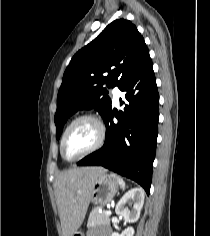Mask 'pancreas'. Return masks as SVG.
<instances>
[{"instance_id":"obj_1","label":"pancreas","mask_w":210,"mask_h":236,"mask_svg":"<svg viewBox=\"0 0 210 236\" xmlns=\"http://www.w3.org/2000/svg\"><path fill=\"white\" fill-rule=\"evenodd\" d=\"M101 207H95L88 218V223L87 226L88 227H93L95 225H100V224H104V225H109L110 224V217L109 215L105 214V210H103L102 213H99V209Z\"/></svg>"}]
</instances>
